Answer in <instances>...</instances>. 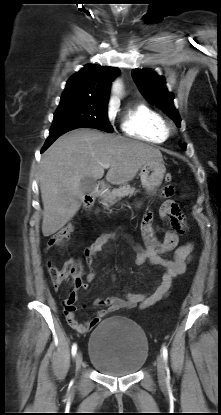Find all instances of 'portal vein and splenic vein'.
I'll return each instance as SVG.
<instances>
[{"instance_id": "obj_1", "label": "portal vein and splenic vein", "mask_w": 221, "mask_h": 415, "mask_svg": "<svg viewBox=\"0 0 221 415\" xmlns=\"http://www.w3.org/2000/svg\"><path fill=\"white\" fill-rule=\"evenodd\" d=\"M104 168H109L110 167V164L109 163H103V164H101Z\"/></svg>"}]
</instances>
